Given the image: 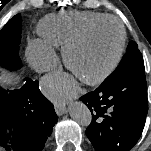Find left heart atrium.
Returning <instances> with one entry per match:
<instances>
[{
  "mask_svg": "<svg viewBox=\"0 0 151 151\" xmlns=\"http://www.w3.org/2000/svg\"><path fill=\"white\" fill-rule=\"evenodd\" d=\"M42 88L52 100L57 103H63L77 93L78 83L69 74L55 72L43 79Z\"/></svg>",
  "mask_w": 151,
  "mask_h": 151,
  "instance_id": "1",
  "label": "left heart atrium"
}]
</instances>
